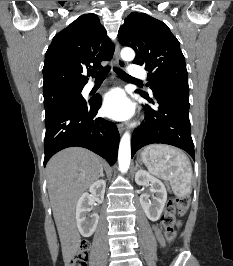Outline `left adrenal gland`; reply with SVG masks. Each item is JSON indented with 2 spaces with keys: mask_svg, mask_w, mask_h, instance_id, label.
<instances>
[{
  "mask_svg": "<svg viewBox=\"0 0 233 266\" xmlns=\"http://www.w3.org/2000/svg\"><path fill=\"white\" fill-rule=\"evenodd\" d=\"M138 166H139V164L137 163V164H136V169L138 168Z\"/></svg>",
  "mask_w": 233,
  "mask_h": 266,
  "instance_id": "obj_1",
  "label": "left adrenal gland"
}]
</instances>
